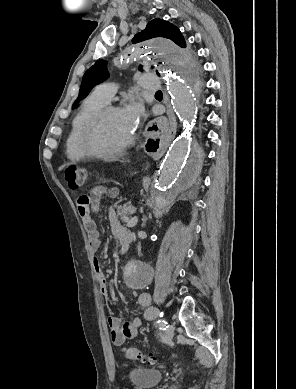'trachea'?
Segmentation results:
<instances>
[{"mask_svg":"<svg viewBox=\"0 0 296 389\" xmlns=\"http://www.w3.org/2000/svg\"><path fill=\"white\" fill-rule=\"evenodd\" d=\"M155 94L156 95H162V92L161 91H157Z\"/></svg>","mask_w":296,"mask_h":389,"instance_id":"trachea-1","label":"trachea"}]
</instances>
